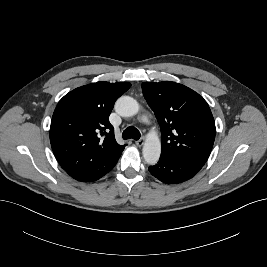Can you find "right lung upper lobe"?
Here are the masks:
<instances>
[{
  "instance_id": "cb5924a9",
  "label": "right lung upper lobe",
  "mask_w": 267,
  "mask_h": 267,
  "mask_svg": "<svg viewBox=\"0 0 267 267\" xmlns=\"http://www.w3.org/2000/svg\"><path fill=\"white\" fill-rule=\"evenodd\" d=\"M130 86L128 82L92 83L59 101L51 121L50 142L66 172L97 174L121 155L125 145L116 142L109 115Z\"/></svg>"
}]
</instances>
